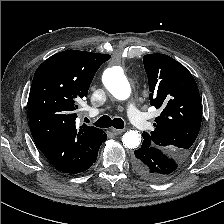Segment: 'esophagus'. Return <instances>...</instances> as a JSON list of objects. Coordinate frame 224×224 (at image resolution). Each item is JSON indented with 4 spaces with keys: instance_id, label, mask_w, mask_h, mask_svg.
Returning a JSON list of instances; mask_svg holds the SVG:
<instances>
[{
    "instance_id": "34e87169",
    "label": "esophagus",
    "mask_w": 224,
    "mask_h": 224,
    "mask_svg": "<svg viewBox=\"0 0 224 224\" xmlns=\"http://www.w3.org/2000/svg\"><path fill=\"white\" fill-rule=\"evenodd\" d=\"M111 131L114 135H119V134H122L124 132V130L114 129V128H112Z\"/></svg>"
}]
</instances>
